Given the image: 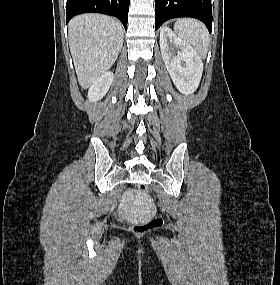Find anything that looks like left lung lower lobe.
Wrapping results in <instances>:
<instances>
[{"label":"left lung lower lobe","instance_id":"obj_1","mask_svg":"<svg viewBox=\"0 0 280 285\" xmlns=\"http://www.w3.org/2000/svg\"><path fill=\"white\" fill-rule=\"evenodd\" d=\"M155 14V30L169 19L193 17L201 20L211 32V0H155Z\"/></svg>","mask_w":280,"mask_h":285}]
</instances>
